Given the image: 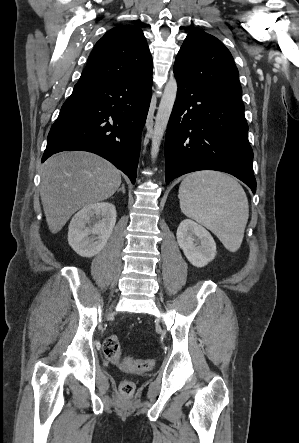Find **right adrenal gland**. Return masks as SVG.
I'll list each match as a JSON object with an SVG mask.
<instances>
[{
    "mask_svg": "<svg viewBox=\"0 0 299 443\" xmlns=\"http://www.w3.org/2000/svg\"><path fill=\"white\" fill-rule=\"evenodd\" d=\"M122 191L123 194H125V186L122 184V187L117 190V192Z\"/></svg>",
    "mask_w": 299,
    "mask_h": 443,
    "instance_id": "right-adrenal-gland-1",
    "label": "right adrenal gland"
}]
</instances>
